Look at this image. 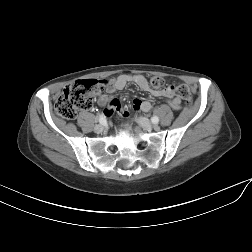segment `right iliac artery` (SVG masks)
<instances>
[{
	"label": "right iliac artery",
	"mask_w": 252,
	"mask_h": 252,
	"mask_svg": "<svg viewBox=\"0 0 252 252\" xmlns=\"http://www.w3.org/2000/svg\"><path fill=\"white\" fill-rule=\"evenodd\" d=\"M101 125L105 126L106 125V121H105V117L103 114H101V119H100Z\"/></svg>",
	"instance_id": "obj_1"
}]
</instances>
